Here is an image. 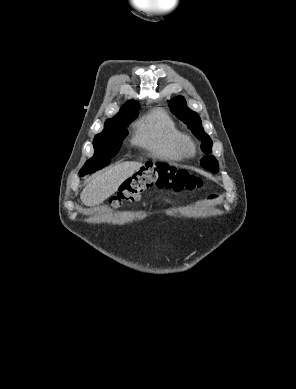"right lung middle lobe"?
Instances as JSON below:
<instances>
[{
  "label": "right lung middle lobe",
  "instance_id": "right-lung-middle-lobe-1",
  "mask_svg": "<svg viewBox=\"0 0 296 389\" xmlns=\"http://www.w3.org/2000/svg\"><path fill=\"white\" fill-rule=\"evenodd\" d=\"M137 116L138 109L108 119L105 122L104 130L97 134L93 140L94 156L85 163L83 168H98L99 170L108 165L111 158L119 151L123 139L128 134L125 127Z\"/></svg>",
  "mask_w": 296,
  "mask_h": 389
}]
</instances>
